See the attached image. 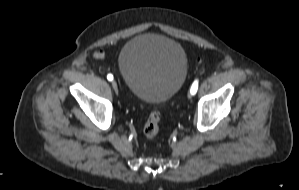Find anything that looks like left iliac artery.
<instances>
[{"instance_id": "44dca946", "label": "left iliac artery", "mask_w": 299, "mask_h": 190, "mask_svg": "<svg viewBox=\"0 0 299 190\" xmlns=\"http://www.w3.org/2000/svg\"><path fill=\"white\" fill-rule=\"evenodd\" d=\"M197 89H198V81L195 80L194 83L191 86L190 93L192 95H194L197 92Z\"/></svg>"}]
</instances>
